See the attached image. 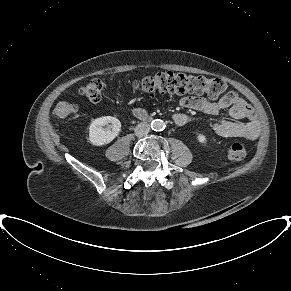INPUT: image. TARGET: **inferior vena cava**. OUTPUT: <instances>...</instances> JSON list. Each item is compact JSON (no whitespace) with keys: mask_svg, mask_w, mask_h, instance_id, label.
I'll list each match as a JSON object with an SVG mask.
<instances>
[{"mask_svg":"<svg viewBox=\"0 0 291 291\" xmlns=\"http://www.w3.org/2000/svg\"><path fill=\"white\" fill-rule=\"evenodd\" d=\"M150 131V125L146 122L139 123L135 128V134L136 136L142 137L149 133Z\"/></svg>","mask_w":291,"mask_h":291,"instance_id":"1","label":"inferior vena cava"}]
</instances>
